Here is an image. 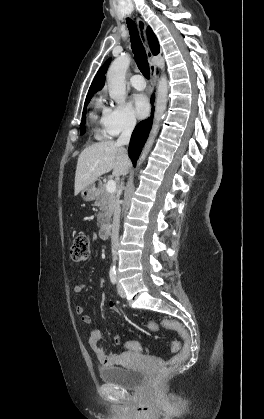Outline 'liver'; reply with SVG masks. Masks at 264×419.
<instances>
[{"label":"liver","instance_id":"liver-1","mask_svg":"<svg viewBox=\"0 0 264 419\" xmlns=\"http://www.w3.org/2000/svg\"><path fill=\"white\" fill-rule=\"evenodd\" d=\"M131 166L127 151L115 141L107 140L92 144L79 155L74 194L78 195L88 185L93 184L99 176L113 170L115 177L128 173Z\"/></svg>","mask_w":264,"mask_h":419}]
</instances>
